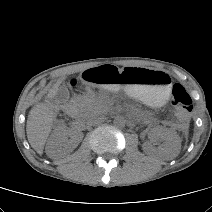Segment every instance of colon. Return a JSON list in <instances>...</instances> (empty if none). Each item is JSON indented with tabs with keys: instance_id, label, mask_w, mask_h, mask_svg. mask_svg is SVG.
I'll return each instance as SVG.
<instances>
[{
	"instance_id": "obj_1",
	"label": "colon",
	"mask_w": 212,
	"mask_h": 212,
	"mask_svg": "<svg viewBox=\"0 0 212 212\" xmlns=\"http://www.w3.org/2000/svg\"><path fill=\"white\" fill-rule=\"evenodd\" d=\"M77 82V79H73L70 81V85L75 86ZM172 104L175 108L176 116L180 120H186L193 110L192 98L185 87L180 83L174 84L172 88Z\"/></svg>"
}]
</instances>
